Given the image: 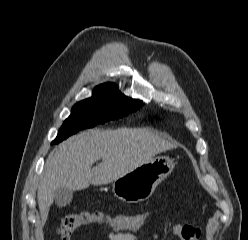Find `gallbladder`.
<instances>
[{"instance_id":"bac80fb5","label":"gallbladder","mask_w":248,"mask_h":240,"mask_svg":"<svg viewBox=\"0 0 248 240\" xmlns=\"http://www.w3.org/2000/svg\"><path fill=\"white\" fill-rule=\"evenodd\" d=\"M73 198V191L68 188H59L54 192V201L58 207H65Z\"/></svg>"}]
</instances>
